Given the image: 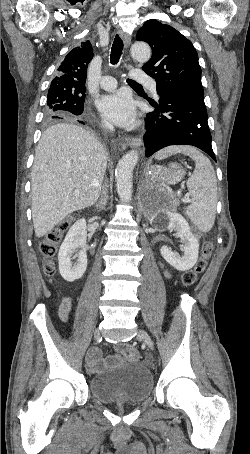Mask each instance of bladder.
<instances>
[{"instance_id": "bladder-1", "label": "bladder", "mask_w": 250, "mask_h": 454, "mask_svg": "<svg viewBox=\"0 0 250 454\" xmlns=\"http://www.w3.org/2000/svg\"><path fill=\"white\" fill-rule=\"evenodd\" d=\"M88 388L98 401L105 404H137L151 395L153 378L145 366L121 361L117 367L91 376Z\"/></svg>"}]
</instances>
